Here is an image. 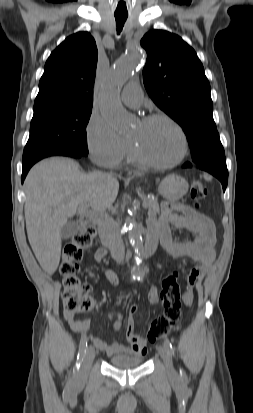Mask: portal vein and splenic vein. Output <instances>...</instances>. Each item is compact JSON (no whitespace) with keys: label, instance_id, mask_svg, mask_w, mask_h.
I'll return each instance as SVG.
<instances>
[{"label":"portal vein and splenic vein","instance_id":"18ae733b","mask_svg":"<svg viewBox=\"0 0 253 413\" xmlns=\"http://www.w3.org/2000/svg\"><path fill=\"white\" fill-rule=\"evenodd\" d=\"M143 207L144 208L148 207V204L145 201H143ZM78 212L83 217L89 218V217L92 216V213L89 211V204H87V203L80 206L79 209H78Z\"/></svg>","mask_w":253,"mask_h":413}]
</instances>
